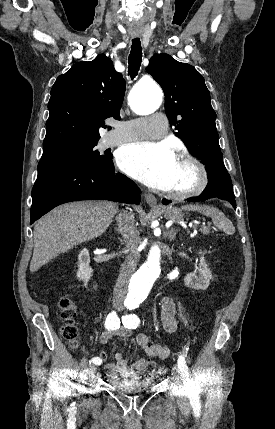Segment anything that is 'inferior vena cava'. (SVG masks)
Instances as JSON below:
<instances>
[{
	"label": "inferior vena cava",
	"instance_id": "inferior-vena-cava-1",
	"mask_svg": "<svg viewBox=\"0 0 275 429\" xmlns=\"http://www.w3.org/2000/svg\"><path fill=\"white\" fill-rule=\"evenodd\" d=\"M116 220L118 230L123 236L126 246L125 252L127 253L113 291V301L121 304L127 294L129 279L134 273L140 258V254L137 251L140 237L133 214L127 211L120 212Z\"/></svg>",
	"mask_w": 275,
	"mask_h": 429
}]
</instances>
